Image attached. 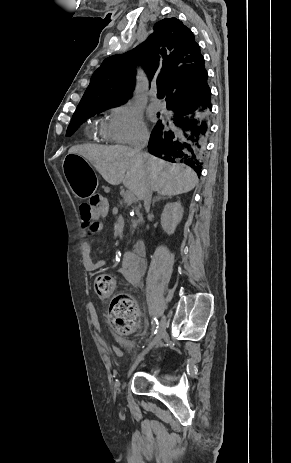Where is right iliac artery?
<instances>
[{
    "label": "right iliac artery",
    "instance_id": "1",
    "mask_svg": "<svg viewBox=\"0 0 291 463\" xmlns=\"http://www.w3.org/2000/svg\"><path fill=\"white\" fill-rule=\"evenodd\" d=\"M158 320L156 317L153 318L152 320V334H156L157 333V329H158Z\"/></svg>",
    "mask_w": 291,
    "mask_h": 463
}]
</instances>
